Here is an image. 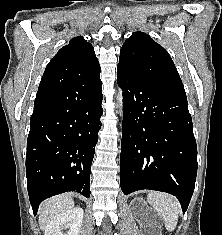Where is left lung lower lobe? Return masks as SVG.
Instances as JSON below:
<instances>
[{"mask_svg": "<svg viewBox=\"0 0 222 235\" xmlns=\"http://www.w3.org/2000/svg\"><path fill=\"white\" fill-rule=\"evenodd\" d=\"M123 90L122 192L150 189L178 198L183 213L197 175V147L187 98L117 67Z\"/></svg>", "mask_w": 222, "mask_h": 235, "instance_id": "0a47b994", "label": "left lung lower lobe"}]
</instances>
